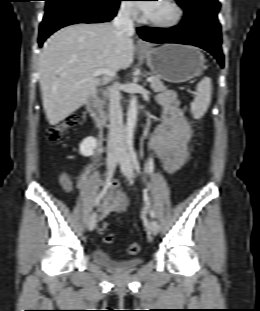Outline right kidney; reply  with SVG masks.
Returning a JSON list of instances; mask_svg holds the SVG:
<instances>
[{
  "instance_id": "1",
  "label": "right kidney",
  "mask_w": 260,
  "mask_h": 311,
  "mask_svg": "<svg viewBox=\"0 0 260 311\" xmlns=\"http://www.w3.org/2000/svg\"><path fill=\"white\" fill-rule=\"evenodd\" d=\"M96 147H97V140L91 136L87 137L80 144V153L86 157L91 156L93 155Z\"/></svg>"
}]
</instances>
